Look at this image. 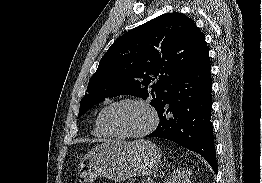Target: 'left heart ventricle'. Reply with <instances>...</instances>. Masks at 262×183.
<instances>
[{
  "label": "left heart ventricle",
  "instance_id": "1",
  "mask_svg": "<svg viewBox=\"0 0 262 183\" xmlns=\"http://www.w3.org/2000/svg\"><path fill=\"white\" fill-rule=\"evenodd\" d=\"M150 122L149 111L133 103L114 106L104 115V124L108 130L116 134L140 132L147 128Z\"/></svg>",
  "mask_w": 262,
  "mask_h": 183
}]
</instances>
